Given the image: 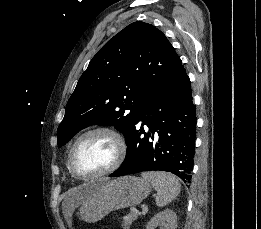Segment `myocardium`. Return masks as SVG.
<instances>
[{
  "label": "myocardium",
  "mask_w": 261,
  "mask_h": 229,
  "mask_svg": "<svg viewBox=\"0 0 261 229\" xmlns=\"http://www.w3.org/2000/svg\"><path fill=\"white\" fill-rule=\"evenodd\" d=\"M95 134H104L111 138V140L113 141L116 147V157L113 164L103 171H99L95 173H83L74 166V162H73L74 153L78 148V146L86 138ZM126 153H127V147H126L125 140L117 130L106 126L95 127L81 134L71 146L68 155V168L75 176L82 179H92V178L106 176L108 174L113 173L121 166V164L125 160Z\"/></svg>",
  "instance_id": "f54148a6"
}]
</instances>
